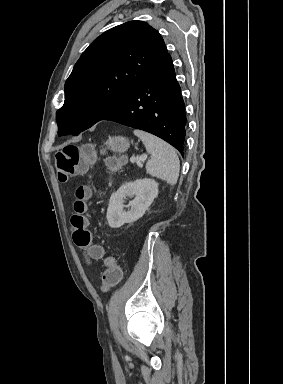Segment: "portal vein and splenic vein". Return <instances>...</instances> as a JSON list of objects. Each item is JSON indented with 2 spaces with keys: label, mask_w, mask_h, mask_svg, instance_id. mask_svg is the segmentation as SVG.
Wrapping results in <instances>:
<instances>
[{
  "label": "portal vein and splenic vein",
  "mask_w": 283,
  "mask_h": 384,
  "mask_svg": "<svg viewBox=\"0 0 283 384\" xmlns=\"http://www.w3.org/2000/svg\"><path fill=\"white\" fill-rule=\"evenodd\" d=\"M153 156V154H152ZM148 156L147 154H142V156H140V158H130V162L131 164H134V162H137V166H139V168H143V164L142 162H145V160H147Z\"/></svg>",
  "instance_id": "obj_1"
}]
</instances>
